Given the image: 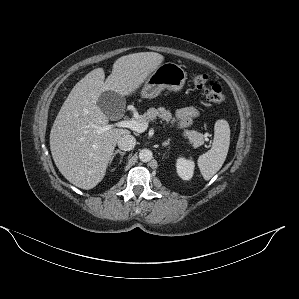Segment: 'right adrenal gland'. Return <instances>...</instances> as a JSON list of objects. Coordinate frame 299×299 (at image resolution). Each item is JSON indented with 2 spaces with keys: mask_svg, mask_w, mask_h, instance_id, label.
<instances>
[{
  "mask_svg": "<svg viewBox=\"0 0 299 299\" xmlns=\"http://www.w3.org/2000/svg\"><path fill=\"white\" fill-rule=\"evenodd\" d=\"M116 154H120L121 155V159H120V162L122 161V158L123 156L125 155V152L121 151V150H116L113 154H112V157L110 159V163L112 162V160L114 159V157L116 156Z\"/></svg>",
  "mask_w": 299,
  "mask_h": 299,
  "instance_id": "right-adrenal-gland-1",
  "label": "right adrenal gland"
}]
</instances>
